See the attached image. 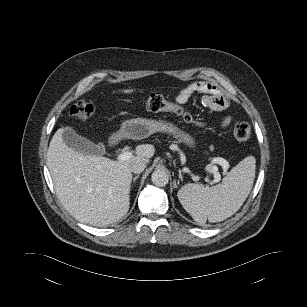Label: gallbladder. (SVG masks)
Here are the masks:
<instances>
[{"mask_svg":"<svg viewBox=\"0 0 307 307\" xmlns=\"http://www.w3.org/2000/svg\"><path fill=\"white\" fill-rule=\"evenodd\" d=\"M62 138L64 143L84 155H103L105 154L104 145H96L87 138L80 136L71 127H65L62 131Z\"/></svg>","mask_w":307,"mask_h":307,"instance_id":"obj_1","label":"gallbladder"}]
</instances>
